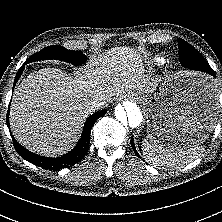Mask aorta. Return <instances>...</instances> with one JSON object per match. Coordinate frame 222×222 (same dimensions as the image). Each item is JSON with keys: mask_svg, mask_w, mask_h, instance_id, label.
<instances>
[{"mask_svg": "<svg viewBox=\"0 0 222 222\" xmlns=\"http://www.w3.org/2000/svg\"><path fill=\"white\" fill-rule=\"evenodd\" d=\"M114 116L119 124L125 128H136L143 120L141 108L132 101H125L123 105H117Z\"/></svg>", "mask_w": 222, "mask_h": 222, "instance_id": "1", "label": "aorta"}]
</instances>
